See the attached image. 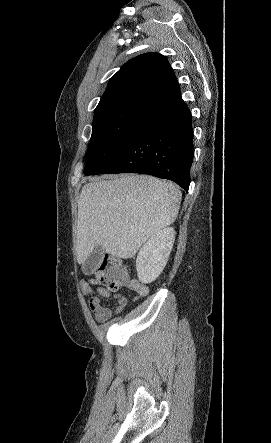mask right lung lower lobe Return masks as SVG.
Listing matches in <instances>:
<instances>
[{"label": "right lung lower lobe", "instance_id": "1", "mask_svg": "<svg viewBox=\"0 0 271 443\" xmlns=\"http://www.w3.org/2000/svg\"><path fill=\"white\" fill-rule=\"evenodd\" d=\"M191 112L181 94L153 104L135 122L111 158L92 173L149 174L188 191L193 161Z\"/></svg>", "mask_w": 271, "mask_h": 443}]
</instances>
